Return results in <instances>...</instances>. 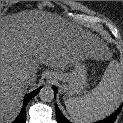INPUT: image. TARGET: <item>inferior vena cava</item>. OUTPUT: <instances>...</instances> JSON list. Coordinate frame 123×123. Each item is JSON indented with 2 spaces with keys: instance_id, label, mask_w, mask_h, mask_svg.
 Masks as SVG:
<instances>
[{
  "instance_id": "1",
  "label": "inferior vena cava",
  "mask_w": 123,
  "mask_h": 123,
  "mask_svg": "<svg viewBox=\"0 0 123 123\" xmlns=\"http://www.w3.org/2000/svg\"><path fill=\"white\" fill-rule=\"evenodd\" d=\"M29 78H30V74L28 72L25 71L21 74V79L28 81Z\"/></svg>"
}]
</instances>
